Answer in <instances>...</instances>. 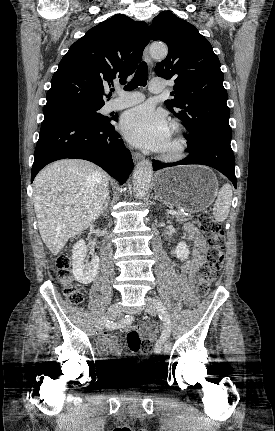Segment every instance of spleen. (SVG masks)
<instances>
[{"instance_id": "1", "label": "spleen", "mask_w": 275, "mask_h": 431, "mask_svg": "<svg viewBox=\"0 0 275 431\" xmlns=\"http://www.w3.org/2000/svg\"><path fill=\"white\" fill-rule=\"evenodd\" d=\"M232 201V188L229 184H225L219 190L217 199L213 207V216L216 221L223 222L230 211Z\"/></svg>"}]
</instances>
